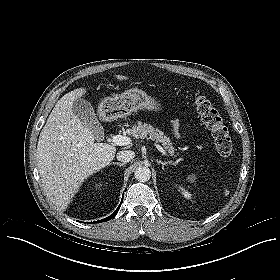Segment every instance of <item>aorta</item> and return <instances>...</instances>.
Segmentation results:
<instances>
[{"label":"aorta","mask_w":280,"mask_h":280,"mask_svg":"<svg viewBox=\"0 0 280 280\" xmlns=\"http://www.w3.org/2000/svg\"><path fill=\"white\" fill-rule=\"evenodd\" d=\"M134 177L139 182H146L151 178V171L148 167L139 166L134 172Z\"/></svg>","instance_id":"762f6f07"}]
</instances>
